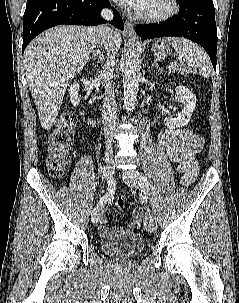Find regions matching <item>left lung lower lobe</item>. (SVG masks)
Wrapping results in <instances>:
<instances>
[{
    "label": "left lung lower lobe",
    "instance_id": "obj_1",
    "mask_svg": "<svg viewBox=\"0 0 239 303\" xmlns=\"http://www.w3.org/2000/svg\"><path fill=\"white\" fill-rule=\"evenodd\" d=\"M178 15L165 23L137 25L142 40L176 36L188 38L205 48L216 69L217 31L212 0H187L179 3Z\"/></svg>",
    "mask_w": 239,
    "mask_h": 303
}]
</instances>
